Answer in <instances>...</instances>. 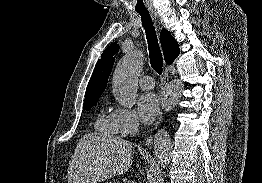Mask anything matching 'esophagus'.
Returning a JSON list of instances; mask_svg holds the SVG:
<instances>
[{
  "instance_id": "esophagus-1",
  "label": "esophagus",
  "mask_w": 262,
  "mask_h": 183,
  "mask_svg": "<svg viewBox=\"0 0 262 183\" xmlns=\"http://www.w3.org/2000/svg\"><path fill=\"white\" fill-rule=\"evenodd\" d=\"M152 16L154 17V19H156V16H157V15H156L155 12H152ZM168 81H169V75H168L167 72H164V73H163V77H162V89H165V87H166L167 84H168ZM162 121H163V117H161L159 123H161ZM151 143H152V136H150V137L147 139L145 145H146V146H150Z\"/></svg>"
}]
</instances>
